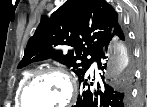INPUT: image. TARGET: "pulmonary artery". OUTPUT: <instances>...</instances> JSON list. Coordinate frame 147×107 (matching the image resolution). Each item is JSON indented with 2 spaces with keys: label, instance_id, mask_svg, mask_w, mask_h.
I'll return each instance as SVG.
<instances>
[{
  "label": "pulmonary artery",
  "instance_id": "1",
  "mask_svg": "<svg viewBox=\"0 0 147 107\" xmlns=\"http://www.w3.org/2000/svg\"><path fill=\"white\" fill-rule=\"evenodd\" d=\"M95 67H96V63H93V64H92V68H95Z\"/></svg>",
  "mask_w": 147,
  "mask_h": 107
}]
</instances>
